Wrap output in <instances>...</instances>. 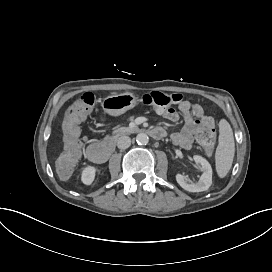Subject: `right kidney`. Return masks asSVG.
<instances>
[{"mask_svg": "<svg viewBox=\"0 0 272 272\" xmlns=\"http://www.w3.org/2000/svg\"><path fill=\"white\" fill-rule=\"evenodd\" d=\"M94 172H95L94 168L92 167L86 168L82 174L83 182L86 184H90L94 179Z\"/></svg>", "mask_w": 272, "mask_h": 272, "instance_id": "1", "label": "right kidney"}]
</instances>
